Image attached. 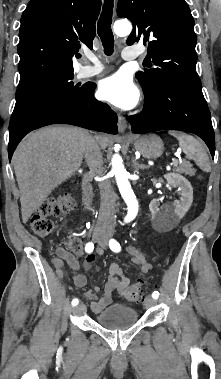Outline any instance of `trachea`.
I'll return each mask as SVG.
<instances>
[{
  "label": "trachea",
  "mask_w": 221,
  "mask_h": 379,
  "mask_svg": "<svg viewBox=\"0 0 221 379\" xmlns=\"http://www.w3.org/2000/svg\"><path fill=\"white\" fill-rule=\"evenodd\" d=\"M113 0H105L100 19L97 23V33L104 47V53L111 55L114 48V36L111 29Z\"/></svg>",
  "instance_id": "3493384b"
}]
</instances>
